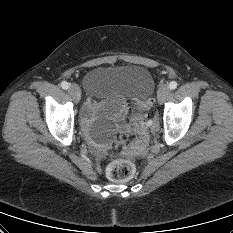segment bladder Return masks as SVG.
<instances>
[{
  "instance_id": "bladder-1",
  "label": "bladder",
  "mask_w": 233,
  "mask_h": 233,
  "mask_svg": "<svg viewBox=\"0 0 233 233\" xmlns=\"http://www.w3.org/2000/svg\"><path fill=\"white\" fill-rule=\"evenodd\" d=\"M86 93L99 100L146 102L155 89L151 72L140 65L96 67L83 78Z\"/></svg>"
}]
</instances>
